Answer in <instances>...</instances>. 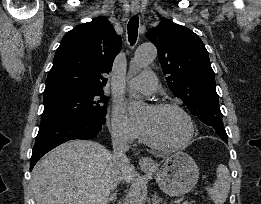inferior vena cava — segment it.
I'll return each instance as SVG.
<instances>
[{
  "instance_id": "obj_1",
  "label": "inferior vena cava",
  "mask_w": 261,
  "mask_h": 204,
  "mask_svg": "<svg viewBox=\"0 0 261 204\" xmlns=\"http://www.w3.org/2000/svg\"><path fill=\"white\" fill-rule=\"evenodd\" d=\"M111 136L114 150L111 190H114L121 181V170L129 163V159L125 154L129 150V144L126 137L120 133L113 132Z\"/></svg>"
}]
</instances>
